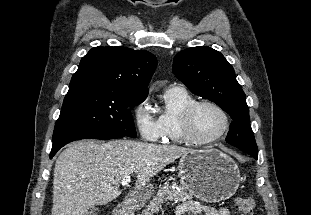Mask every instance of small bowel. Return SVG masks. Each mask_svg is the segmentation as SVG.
<instances>
[{
    "instance_id": "1",
    "label": "small bowel",
    "mask_w": 311,
    "mask_h": 215,
    "mask_svg": "<svg viewBox=\"0 0 311 215\" xmlns=\"http://www.w3.org/2000/svg\"><path fill=\"white\" fill-rule=\"evenodd\" d=\"M176 215H231L227 208L215 209L198 201H187L176 209Z\"/></svg>"
}]
</instances>
